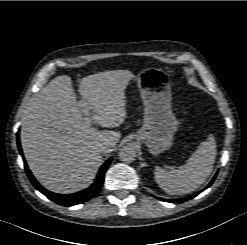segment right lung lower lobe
Returning <instances> with one entry per match:
<instances>
[{
    "mask_svg": "<svg viewBox=\"0 0 247 245\" xmlns=\"http://www.w3.org/2000/svg\"><path fill=\"white\" fill-rule=\"evenodd\" d=\"M17 144H18V149L20 151V154L22 155V150H21L20 140H19V132L17 133ZM111 160L112 158H109L101 166L95 182L89 188L83 191H79L77 193L68 194V195L55 194L50 191H47L36 181L32 173L28 169V166L26 163L24 164V166H25V170L27 172V175L31 183L37 190H39L41 193H43L46 197H48L50 200L54 201L55 203L62 205V206H68V205H76V204H81L83 202H86L90 200L91 198H93L99 192L104 182L105 172L108 166L110 165Z\"/></svg>",
    "mask_w": 247,
    "mask_h": 245,
    "instance_id": "right-lung-lower-lobe-1",
    "label": "right lung lower lobe"
}]
</instances>
